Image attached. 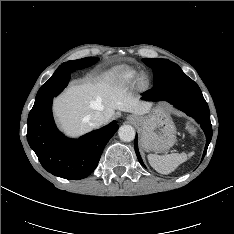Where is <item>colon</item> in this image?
I'll return each instance as SVG.
<instances>
[{
  "label": "colon",
  "mask_w": 234,
  "mask_h": 234,
  "mask_svg": "<svg viewBox=\"0 0 234 234\" xmlns=\"http://www.w3.org/2000/svg\"><path fill=\"white\" fill-rule=\"evenodd\" d=\"M187 129H188V131L190 132V134H192L193 136H196V134H197V130H196V128L193 126V125H188L187 126Z\"/></svg>",
  "instance_id": "obj_1"
}]
</instances>
